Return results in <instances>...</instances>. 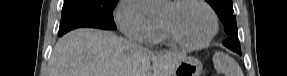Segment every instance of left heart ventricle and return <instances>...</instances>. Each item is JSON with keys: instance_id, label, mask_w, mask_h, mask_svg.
Instances as JSON below:
<instances>
[{"instance_id": "left-heart-ventricle-1", "label": "left heart ventricle", "mask_w": 287, "mask_h": 76, "mask_svg": "<svg viewBox=\"0 0 287 76\" xmlns=\"http://www.w3.org/2000/svg\"><path fill=\"white\" fill-rule=\"evenodd\" d=\"M161 17L167 18L177 34L187 41H199L211 30L210 14L197 3H187L177 8L168 5Z\"/></svg>"}]
</instances>
